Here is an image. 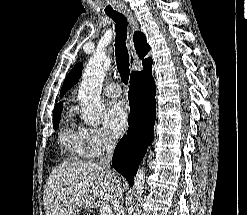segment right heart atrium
I'll return each instance as SVG.
<instances>
[{
  "label": "right heart atrium",
  "mask_w": 247,
  "mask_h": 215,
  "mask_svg": "<svg viewBox=\"0 0 247 215\" xmlns=\"http://www.w3.org/2000/svg\"><path fill=\"white\" fill-rule=\"evenodd\" d=\"M81 131L89 157H99L113 149L117 143L116 138L103 127H87Z\"/></svg>",
  "instance_id": "d8ad5b80"
}]
</instances>
